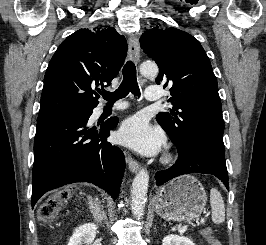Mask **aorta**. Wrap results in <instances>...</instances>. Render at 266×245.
<instances>
[{
    "label": "aorta",
    "instance_id": "obj_1",
    "mask_svg": "<svg viewBox=\"0 0 266 245\" xmlns=\"http://www.w3.org/2000/svg\"><path fill=\"white\" fill-rule=\"evenodd\" d=\"M141 74H153V76H156V74H158V66H156V64L151 66V68H148V66H141ZM148 185L149 173L146 169H141V171L137 173L135 179H133L131 189V213L136 219H140L144 213Z\"/></svg>",
    "mask_w": 266,
    "mask_h": 245
}]
</instances>
